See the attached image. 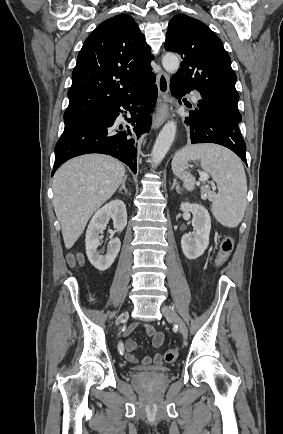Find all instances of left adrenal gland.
Listing matches in <instances>:
<instances>
[{
	"instance_id": "left-adrenal-gland-1",
	"label": "left adrenal gland",
	"mask_w": 283,
	"mask_h": 434,
	"mask_svg": "<svg viewBox=\"0 0 283 434\" xmlns=\"http://www.w3.org/2000/svg\"><path fill=\"white\" fill-rule=\"evenodd\" d=\"M174 188H176V192L180 194V186L177 183L176 179H174V181H173V185L171 187V190H173Z\"/></svg>"
}]
</instances>
